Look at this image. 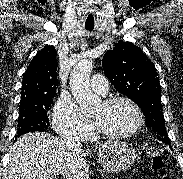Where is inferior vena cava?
<instances>
[{
	"label": "inferior vena cava",
	"instance_id": "obj_1",
	"mask_svg": "<svg viewBox=\"0 0 183 179\" xmlns=\"http://www.w3.org/2000/svg\"><path fill=\"white\" fill-rule=\"evenodd\" d=\"M65 147L71 151H78L81 149L82 144L76 135H67L63 138Z\"/></svg>",
	"mask_w": 183,
	"mask_h": 179
}]
</instances>
